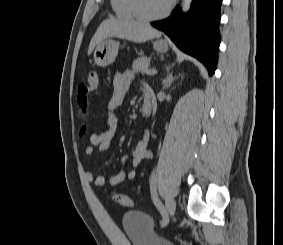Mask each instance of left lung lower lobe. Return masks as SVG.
I'll use <instances>...</instances> for the list:
<instances>
[{
	"instance_id": "1",
	"label": "left lung lower lobe",
	"mask_w": 283,
	"mask_h": 245,
	"mask_svg": "<svg viewBox=\"0 0 283 245\" xmlns=\"http://www.w3.org/2000/svg\"><path fill=\"white\" fill-rule=\"evenodd\" d=\"M221 3L222 0H193L186 15L176 7L170 17L151 25L164 31L182 51L200 60L212 75L220 44Z\"/></svg>"
}]
</instances>
